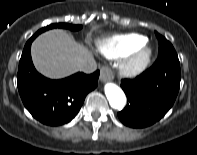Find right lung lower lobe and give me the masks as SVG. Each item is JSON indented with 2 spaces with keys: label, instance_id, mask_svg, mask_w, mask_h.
<instances>
[{
  "label": "right lung lower lobe",
  "instance_id": "98d812e1",
  "mask_svg": "<svg viewBox=\"0 0 197 155\" xmlns=\"http://www.w3.org/2000/svg\"><path fill=\"white\" fill-rule=\"evenodd\" d=\"M31 37L22 52L17 85L24 106L34 118L50 126L71 121L80 110L86 95L97 87L99 71L87 75L76 73L60 80L39 74L32 63Z\"/></svg>",
  "mask_w": 197,
  "mask_h": 155
}]
</instances>
